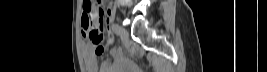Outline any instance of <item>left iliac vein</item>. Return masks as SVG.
I'll list each match as a JSON object with an SVG mask.
<instances>
[{"label": "left iliac vein", "mask_w": 267, "mask_h": 72, "mask_svg": "<svg viewBox=\"0 0 267 72\" xmlns=\"http://www.w3.org/2000/svg\"><path fill=\"white\" fill-rule=\"evenodd\" d=\"M120 37H121V40H122V43L123 44H126L128 43L129 41V33L126 29L120 27Z\"/></svg>", "instance_id": "obj_1"}]
</instances>
